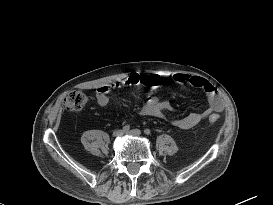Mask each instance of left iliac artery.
Listing matches in <instances>:
<instances>
[{
  "instance_id": "obj_1",
  "label": "left iliac artery",
  "mask_w": 273,
  "mask_h": 205,
  "mask_svg": "<svg viewBox=\"0 0 273 205\" xmlns=\"http://www.w3.org/2000/svg\"><path fill=\"white\" fill-rule=\"evenodd\" d=\"M144 133H145L146 135H150V134H151V131H150V129H145V130H144Z\"/></svg>"
}]
</instances>
